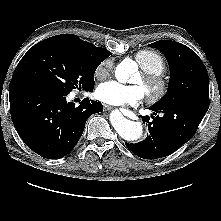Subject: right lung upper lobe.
I'll return each mask as SVG.
<instances>
[{
  "label": "right lung upper lobe",
  "instance_id": "right-lung-upper-lobe-1",
  "mask_svg": "<svg viewBox=\"0 0 221 221\" xmlns=\"http://www.w3.org/2000/svg\"><path fill=\"white\" fill-rule=\"evenodd\" d=\"M54 37L60 38V39H63V40H66V41L72 43L73 45L80 48L82 51L87 53L92 58L99 60L101 62L104 61L111 54L107 49L101 48V47H96L95 45H93L89 42L79 39L75 35L61 34V35H56Z\"/></svg>",
  "mask_w": 221,
  "mask_h": 221
}]
</instances>
